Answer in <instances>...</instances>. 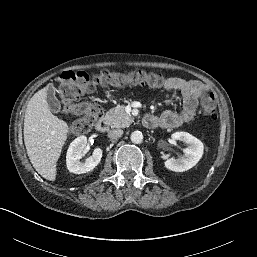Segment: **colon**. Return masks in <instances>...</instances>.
Segmentation results:
<instances>
[{"mask_svg": "<svg viewBox=\"0 0 257 257\" xmlns=\"http://www.w3.org/2000/svg\"><path fill=\"white\" fill-rule=\"evenodd\" d=\"M166 79L161 74L143 70L127 74L107 70L89 74L85 71H68L60 76V95L63 112L74 114L77 119L70 127V134L82 135L90 132L102 117V109L94 102L81 101V98L95 90L98 85L123 87L129 84L162 87ZM201 115L206 120L217 118L215 97L204 92L200 98Z\"/></svg>", "mask_w": 257, "mask_h": 257, "instance_id": "obj_1", "label": "colon"}]
</instances>
